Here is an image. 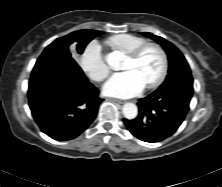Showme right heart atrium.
<instances>
[{"mask_svg":"<svg viewBox=\"0 0 222 187\" xmlns=\"http://www.w3.org/2000/svg\"><path fill=\"white\" fill-rule=\"evenodd\" d=\"M79 64L82 70L94 81L101 82L110 73V67L103 57L101 47L95 40L90 41L83 49Z\"/></svg>","mask_w":222,"mask_h":187,"instance_id":"obj_1","label":"right heart atrium"}]
</instances>
